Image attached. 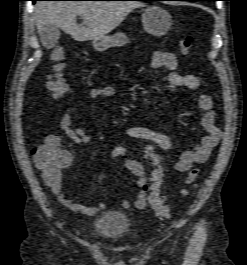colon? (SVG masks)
Wrapping results in <instances>:
<instances>
[{"label": "colon", "instance_id": "5ec220e1", "mask_svg": "<svg viewBox=\"0 0 247 265\" xmlns=\"http://www.w3.org/2000/svg\"><path fill=\"white\" fill-rule=\"evenodd\" d=\"M178 47L182 55H189L193 48V37L190 35L183 37L179 41ZM51 62L53 66L52 72L48 77L47 86L56 98H61L70 92V87L62 77V70L65 65V53L61 47L52 50ZM144 153L153 167L150 171L151 184L149 186L150 193L148 201L157 214L167 216L171 208L164 203L160 195V188L164 181V168L161 164V159L156 154L152 145H146L144 147ZM32 154L34 159H36L43 168L49 171L63 170L66 167V156L60 149L49 148L46 147L45 144H42L34 147L32 149ZM111 157L113 159H124L126 157V148L124 146L114 147L111 151ZM198 174L199 170L196 168L188 173L186 184L189 188L196 186ZM182 193L184 195L188 194V189L182 190Z\"/></svg>", "mask_w": 247, "mask_h": 265}]
</instances>
